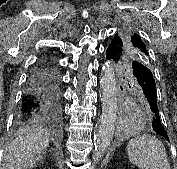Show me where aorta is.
<instances>
[{"instance_id": "obj_1", "label": "aorta", "mask_w": 177, "mask_h": 169, "mask_svg": "<svg viewBox=\"0 0 177 169\" xmlns=\"http://www.w3.org/2000/svg\"><path fill=\"white\" fill-rule=\"evenodd\" d=\"M102 116L94 135L95 154L93 160L97 163L110 145L117 123L118 98L115 73L112 63H105L101 77Z\"/></svg>"}]
</instances>
